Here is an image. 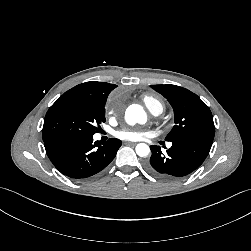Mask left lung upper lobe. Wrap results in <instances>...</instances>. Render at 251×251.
<instances>
[{
	"label": "left lung upper lobe",
	"mask_w": 251,
	"mask_h": 251,
	"mask_svg": "<svg viewBox=\"0 0 251 251\" xmlns=\"http://www.w3.org/2000/svg\"><path fill=\"white\" fill-rule=\"evenodd\" d=\"M151 87L167 98L174 109L175 125L166 141L195 138L213 142L215 126L212 113L196 94L170 84Z\"/></svg>",
	"instance_id": "5c2ea615"
}]
</instances>
